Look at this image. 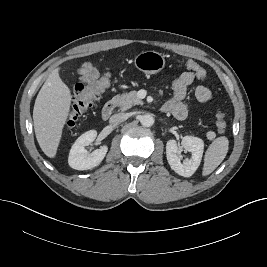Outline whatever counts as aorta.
<instances>
[{
    "mask_svg": "<svg viewBox=\"0 0 267 267\" xmlns=\"http://www.w3.org/2000/svg\"><path fill=\"white\" fill-rule=\"evenodd\" d=\"M140 122L144 127H150L154 124V118L150 114H145L141 117Z\"/></svg>",
    "mask_w": 267,
    "mask_h": 267,
    "instance_id": "1",
    "label": "aorta"
}]
</instances>
